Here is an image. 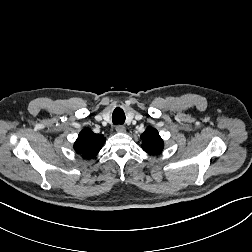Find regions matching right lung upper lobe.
Listing matches in <instances>:
<instances>
[{
    "label": "right lung upper lobe",
    "mask_w": 252,
    "mask_h": 252,
    "mask_svg": "<svg viewBox=\"0 0 252 252\" xmlns=\"http://www.w3.org/2000/svg\"><path fill=\"white\" fill-rule=\"evenodd\" d=\"M105 142V137L100 134H95L89 128L83 129L76 142L74 149L85 159L94 158Z\"/></svg>",
    "instance_id": "right-lung-upper-lobe-1"
}]
</instances>
